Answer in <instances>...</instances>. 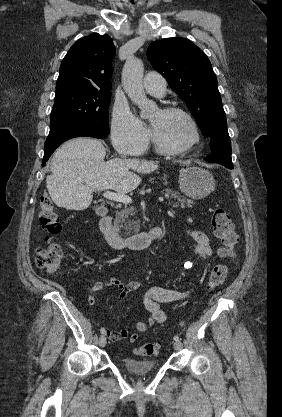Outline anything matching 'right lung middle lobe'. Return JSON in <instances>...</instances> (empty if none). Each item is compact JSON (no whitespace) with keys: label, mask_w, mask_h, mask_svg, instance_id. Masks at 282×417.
<instances>
[{"label":"right lung middle lobe","mask_w":282,"mask_h":417,"mask_svg":"<svg viewBox=\"0 0 282 417\" xmlns=\"http://www.w3.org/2000/svg\"><path fill=\"white\" fill-rule=\"evenodd\" d=\"M110 99V91L78 89L56 92L50 129L72 123H84L109 133Z\"/></svg>","instance_id":"dd1d6c3e"}]
</instances>
